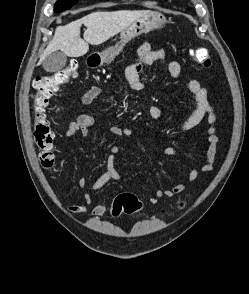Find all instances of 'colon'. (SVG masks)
<instances>
[{"label": "colon", "mask_w": 249, "mask_h": 294, "mask_svg": "<svg viewBox=\"0 0 249 294\" xmlns=\"http://www.w3.org/2000/svg\"><path fill=\"white\" fill-rule=\"evenodd\" d=\"M192 59L203 67H211V57L203 48H191L189 50ZM78 62L72 60L70 64L50 75L38 76L34 79L35 92L32 96V121L35 144L40 150V162L43 168L50 169L54 164V140L55 133L50 126V120L46 114L49 99L63 84L68 83L77 75ZM142 210V202L131 193L117 195L110 208L113 216L133 215Z\"/></svg>", "instance_id": "colon-1"}]
</instances>
